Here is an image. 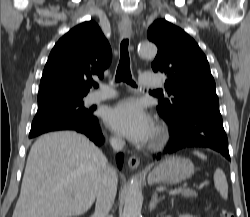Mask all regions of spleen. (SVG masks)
<instances>
[{"mask_svg":"<svg viewBox=\"0 0 250 217\" xmlns=\"http://www.w3.org/2000/svg\"><path fill=\"white\" fill-rule=\"evenodd\" d=\"M194 154L203 160L207 159V157L201 152L194 151ZM214 186H215L216 190L220 193L222 198H224V199L228 198L227 179H226L225 173L220 168H218L214 173Z\"/></svg>","mask_w":250,"mask_h":217,"instance_id":"obj_1","label":"spleen"}]
</instances>
